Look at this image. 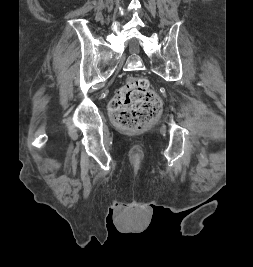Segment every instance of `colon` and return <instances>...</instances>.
Returning <instances> with one entry per match:
<instances>
[{"mask_svg":"<svg viewBox=\"0 0 253 267\" xmlns=\"http://www.w3.org/2000/svg\"><path fill=\"white\" fill-rule=\"evenodd\" d=\"M161 108L160 98L142 77H130L110 102L113 122L130 132L145 128L159 115Z\"/></svg>","mask_w":253,"mask_h":267,"instance_id":"5ec220e1","label":"colon"}]
</instances>
